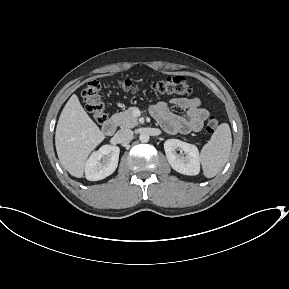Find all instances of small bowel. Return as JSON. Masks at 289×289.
Returning <instances> with one entry per match:
<instances>
[{"label": "small bowel", "instance_id": "1", "mask_svg": "<svg viewBox=\"0 0 289 289\" xmlns=\"http://www.w3.org/2000/svg\"><path fill=\"white\" fill-rule=\"evenodd\" d=\"M170 105L183 109L186 116H178L170 110ZM152 116L159 122L162 128L171 134L199 131L209 112L201 107V101L197 97H177L168 102L160 101L150 108Z\"/></svg>", "mask_w": 289, "mask_h": 289}]
</instances>
